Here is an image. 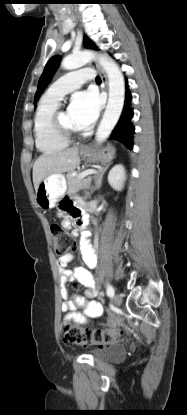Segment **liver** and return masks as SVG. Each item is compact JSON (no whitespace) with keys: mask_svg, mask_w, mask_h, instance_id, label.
I'll return each instance as SVG.
<instances>
[{"mask_svg":"<svg viewBox=\"0 0 187 415\" xmlns=\"http://www.w3.org/2000/svg\"><path fill=\"white\" fill-rule=\"evenodd\" d=\"M80 163L78 148L43 154L33 165V183L37 191L41 181L51 174L73 171Z\"/></svg>","mask_w":187,"mask_h":415,"instance_id":"liver-1","label":"liver"}]
</instances>
